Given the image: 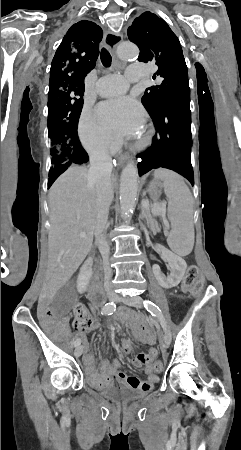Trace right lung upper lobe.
Instances as JSON below:
<instances>
[{"mask_svg":"<svg viewBox=\"0 0 241 450\" xmlns=\"http://www.w3.org/2000/svg\"><path fill=\"white\" fill-rule=\"evenodd\" d=\"M102 34L100 26L87 20L70 27L52 60L49 92L62 86L84 90V78L99 56Z\"/></svg>","mask_w":241,"mask_h":450,"instance_id":"cb5924a9","label":"right lung upper lobe"}]
</instances>
